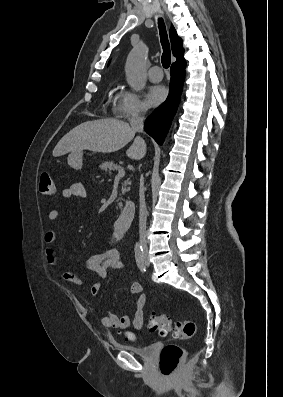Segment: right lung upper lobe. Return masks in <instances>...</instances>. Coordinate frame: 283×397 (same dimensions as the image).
<instances>
[{"mask_svg":"<svg viewBox=\"0 0 283 397\" xmlns=\"http://www.w3.org/2000/svg\"><path fill=\"white\" fill-rule=\"evenodd\" d=\"M170 40H171L172 52L174 56L177 58L176 62L183 61L184 48L182 46V39L177 35V32L173 26L170 29Z\"/></svg>","mask_w":283,"mask_h":397,"instance_id":"1","label":"right lung upper lobe"}]
</instances>
